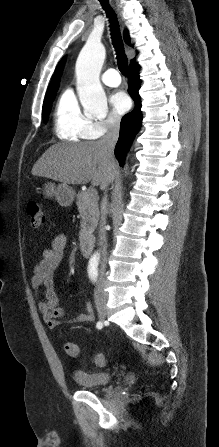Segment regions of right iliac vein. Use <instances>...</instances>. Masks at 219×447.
<instances>
[{
	"mask_svg": "<svg viewBox=\"0 0 219 447\" xmlns=\"http://www.w3.org/2000/svg\"><path fill=\"white\" fill-rule=\"evenodd\" d=\"M98 315L101 320H104V318L106 316V308L104 306L98 307Z\"/></svg>",
	"mask_w": 219,
	"mask_h": 447,
	"instance_id": "right-iliac-vein-1",
	"label": "right iliac vein"
}]
</instances>
